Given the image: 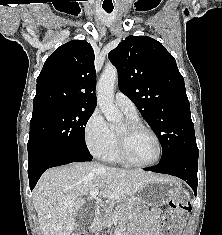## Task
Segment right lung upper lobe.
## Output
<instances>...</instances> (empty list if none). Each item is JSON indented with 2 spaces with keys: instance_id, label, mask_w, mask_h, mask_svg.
I'll return each instance as SVG.
<instances>
[{
  "instance_id": "right-lung-upper-lobe-1",
  "label": "right lung upper lobe",
  "mask_w": 222,
  "mask_h": 235,
  "mask_svg": "<svg viewBox=\"0 0 222 235\" xmlns=\"http://www.w3.org/2000/svg\"><path fill=\"white\" fill-rule=\"evenodd\" d=\"M94 51L86 40L58 47L45 61L37 78L33 113L54 105L94 110L96 72Z\"/></svg>"
}]
</instances>
